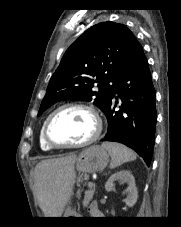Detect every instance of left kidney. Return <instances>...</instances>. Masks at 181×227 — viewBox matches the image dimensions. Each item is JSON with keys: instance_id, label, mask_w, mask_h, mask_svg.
<instances>
[{"instance_id": "obj_1", "label": "left kidney", "mask_w": 181, "mask_h": 227, "mask_svg": "<svg viewBox=\"0 0 181 227\" xmlns=\"http://www.w3.org/2000/svg\"><path fill=\"white\" fill-rule=\"evenodd\" d=\"M120 181L122 183L126 182L128 184L127 188V198L125 200L128 207H133L138 198V192L135 185L134 176L128 170H121L112 174L105 184V189L110 192L114 190V181Z\"/></svg>"}]
</instances>
